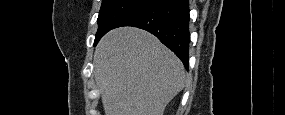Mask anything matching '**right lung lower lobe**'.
I'll use <instances>...</instances> for the list:
<instances>
[{"label": "right lung lower lobe", "mask_w": 285, "mask_h": 115, "mask_svg": "<svg viewBox=\"0 0 285 115\" xmlns=\"http://www.w3.org/2000/svg\"><path fill=\"white\" fill-rule=\"evenodd\" d=\"M189 3L188 0H152L130 13L114 27L134 26L155 35L183 62L189 63Z\"/></svg>", "instance_id": "1"}]
</instances>
